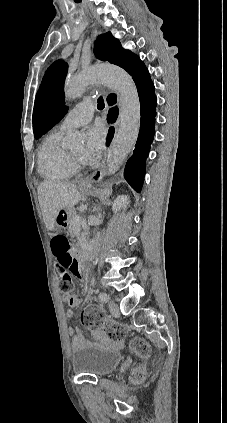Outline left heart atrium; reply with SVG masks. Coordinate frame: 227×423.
Here are the masks:
<instances>
[{"label":"left heart atrium","mask_w":227,"mask_h":423,"mask_svg":"<svg viewBox=\"0 0 227 423\" xmlns=\"http://www.w3.org/2000/svg\"><path fill=\"white\" fill-rule=\"evenodd\" d=\"M107 141V129L102 125H96L88 131V141L83 152L85 163L92 165L99 161Z\"/></svg>","instance_id":"left-heart-atrium-1"}]
</instances>
